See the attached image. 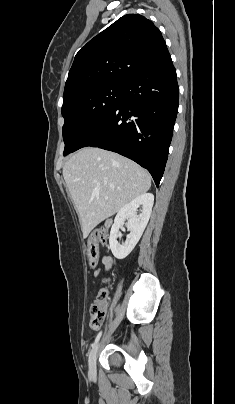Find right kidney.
I'll return each instance as SVG.
<instances>
[{"instance_id": "right-kidney-1", "label": "right kidney", "mask_w": 235, "mask_h": 404, "mask_svg": "<svg viewBox=\"0 0 235 404\" xmlns=\"http://www.w3.org/2000/svg\"><path fill=\"white\" fill-rule=\"evenodd\" d=\"M153 203V194L144 193L122 207L117 213L109 237L110 249L117 259L127 257L138 243L149 221ZM140 206L142 208L141 214L137 215V209ZM125 219H127L126 227L130 233L126 241L120 244L117 238L119 229L123 228Z\"/></svg>"}]
</instances>
